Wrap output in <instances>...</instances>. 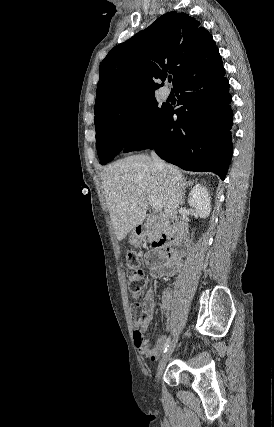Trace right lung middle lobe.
I'll use <instances>...</instances> for the list:
<instances>
[{"instance_id": "right-lung-middle-lobe-1", "label": "right lung middle lobe", "mask_w": 274, "mask_h": 427, "mask_svg": "<svg viewBox=\"0 0 274 427\" xmlns=\"http://www.w3.org/2000/svg\"><path fill=\"white\" fill-rule=\"evenodd\" d=\"M167 106L158 107L154 94L134 96L95 114L96 148L100 164L113 160L125 147L145 138Z\"/></svg>"}]
</instances>
